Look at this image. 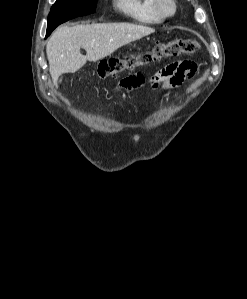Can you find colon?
<instances>
[{
	"label": "colon",
	"mask_w": 247,
	"mask_h": 299,
	"mask_svg": "<svg viewBox=\"0 0 247 299\" xmlns=\"http://www.w3.org/2000/svg\"><path fill=\"white\" fill-rule=\"evenodd\" d=\"M199 48V42L193 38L158 42L147 51L128 54L123 57H113L100 62L97 73L102 79L114 77L123 71L132 70L139 66H145L163 58L175 57L182 54H195L198 52Z\"/></svg>",
	"instance_id": "1"
}]
</instances>
